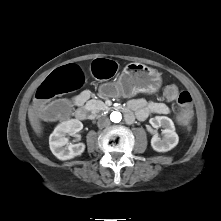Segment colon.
Returning a JSON list of instances; mask_svg holds the SVG:
<instances>
[{
  "mask_svg": "<svg viewBox=\"0 0 221 221\" xmlns=\"http://www.w3.org/2000/svg\"><path fill=\"white\" fill-rule=\"evenodd\" d=\"M117 69L114 61L107 59L96 60L92 65L93 74L99 79L110 78ZM85 81L82 70L76 65H67L52 72L44 82L39 86L36 92L37 101L34 107L39 108L38 117L47 122L57 120H66L72 114V107L66 101L56 103H47L48 100L80 88ZM167 102L178 103V120L186 129L194 126L195 121L192 118V98L188 92H179L177 86L169 85L163 93Z\"/></svg>",
  "mask_w": 221,
  "mask_h": 221,
  "instance_id": "1",
  "label": "colon"
}]
</instances>
